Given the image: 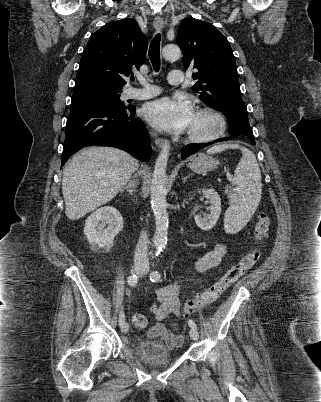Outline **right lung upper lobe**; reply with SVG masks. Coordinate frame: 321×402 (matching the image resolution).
<instances>
[{
	"label": "right lung upper lobe",
	"mask_w": 321,
	"mask_h": 402,
	"mask_svg": "<svg viewBox=\"0 0 321 402\" xmlns=\"http://www.w3.org/2000/svg\"><path fill=\"white\" fill-rule=\"evenodd\" d=\"M147 38L133 19L110 22L89 39L75 85L97 83L122 89L125 77L145 62Z\"/></svg>",
	"instance_id": "obj_1"
}]
</instances>
